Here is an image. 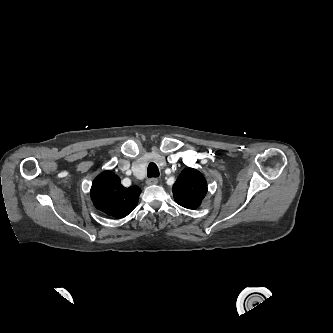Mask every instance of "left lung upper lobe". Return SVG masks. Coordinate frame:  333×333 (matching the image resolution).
I'll return each instance as SVG.
<instances>
[{
  "label": "left lung upper lobe",
  "mask_w": 333,
  "mask_h": 333,
  "mask_svg": "<svg viewBox=\"0 0 333 333\" xmlns=\"http://www.w3.org/2000/svg\"><path fill=\"white\" fill-rule=\"evenodd\" d=\"M206 192L207 183L205 178L198 170L193 168L184 169L173 185L175 201L187 209L199 207Z\"/></svg>",
  "instance_id": "5c2ea615"
}]
</instances>
